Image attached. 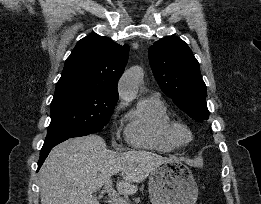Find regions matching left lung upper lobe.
I'll list each match as a JSON object with an SVG mask.
<instances>
[{
  "instance_id": "5c2ea615",
  "label": "left lung upper lobe",
  "mask_w": 261,
  "mask_h": 204,
  "mask_svg": "<svg viewBox=\"0 0 261 204\" xmlns=\"http://www.w3.org/2000/svg\"><path fill=\"white\" fill-rule=\"evenodd\" d=\"M148 53L161 90L191 118L208 119L206 85L188 45L178 37H165L153 43Z\"/></svg>"
}]
</instances>
